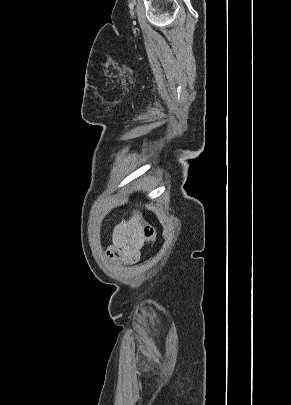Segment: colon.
<instances>
[{"instance_id":"obj_1","label":"colon","mask_w":291,"mask_h":405,"mask_svg":"<svg viewBox=\"0 0 291 405\" xmlns=\"http://www.w3.org/2000/svg\"><path fill=\"white\" fill-rule=\"evenodd\" d=\"M143 238L145 241L154 242L156 239L155 228L151 225H145L142 228Z\"/></svg>"}]
</instances>
